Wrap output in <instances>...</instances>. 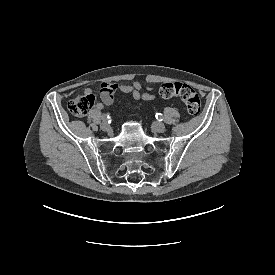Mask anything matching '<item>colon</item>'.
Here are the masks:
<instances>
[{"instance_id": "colon-1", "label": "colon", "mask_w": 275, "mask_h": 275, "mask_svg": "<svg viewBox=\"0 0 275 275\" xmlns=\"http://www.w3.org/2000/svg\"><path fill=\"white\" fill-rule=\"evenodd\" d=\"M159 94L165 99L179 98L182 100L188 114L191 116L197 115L200 111L201 102L199 95L186 83L179 81L164 83L159 88ZM94 103V95H81L71 99L67 103V109L72 115L83 117L91 110Z\"/></svg>"}]
</instances>
